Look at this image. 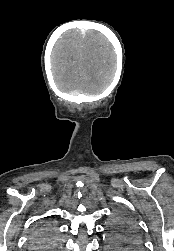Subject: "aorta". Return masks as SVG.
I'll list each match as a JSON object with an SVG mask.
<instances>
[{
	"instance_id": "obj_1",
	"label": "aorta",
	"mask_w": 174,
	"mask_h": 251,
	"mask_svg": "<svg viewBox=\"0 0 174 251\" xmlns=\"http://www.w3.org/2000/svg\"><path fill=\"white\" fill-rule=\"evenodd\" d=\"M106 239H107L106 249L108 251H119V246L111 242V234L109 236L106 234Z\"/></svg>"
}]
</instances>
